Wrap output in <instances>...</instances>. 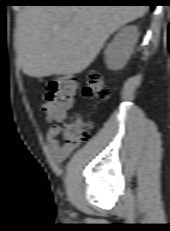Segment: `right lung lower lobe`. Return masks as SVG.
I'll list each match as a JSON object with an SVG mask.
<instances>
[{
    "label": "right lung lower lobe",
    "instance_id": "1",
    "mask_svg": "<svg viewBox=\"0 0 170 231\" xmlns=\"http://www.w3.org/2000/svg\"><path fill=\"white\" fill-rule=\"evenodd\" d=\"M30 5H148L154 8L157 0H27Z\"/></svg>",
    "mask_w": 170,
    "mask_h": 231
}]
</instances>
